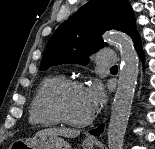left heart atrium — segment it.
Returning <instances> with one entry per match:
<instances>
[{"mask_svg":"<svg viewBox=\"0 0 155 149\" xmlns=\"http://www.w3.org/2000/svg\"><path fill=\"white\" fill-rule=\"evenodd\" d=\"M85 96L92 114L105 103V92L102 85L98 82H94L85 89Z\"/></svg>","mask_w":155,"mask_h":149,"instance_id":"left-heart-atrium-1","label":"left heart atrium"}]
</instances>
